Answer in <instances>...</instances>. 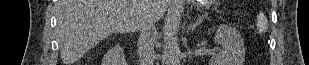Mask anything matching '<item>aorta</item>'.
<instances>
[{
  "mask_svg": "<svg viewBox=\"0 0 309 65\" xmlns=\"http://www.w3.org/2000/svg\"><path fill=\"white\" fill-rule=\"evenodd\" d=\"M180 23V11L176 10L167 25V38L164 60L166 65H180L181 53L177 41V33Z\"/></svg>",
  "mask_w": 309,
  "mask_h": 65,
  "instance_id": "1",
  "label": "aorta"
}]
</instances>
